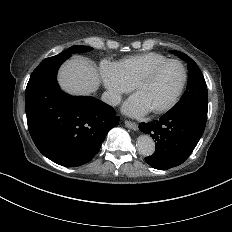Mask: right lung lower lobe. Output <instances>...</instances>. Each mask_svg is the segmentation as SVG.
Listing matches in <instances>:
<instances>
[{"label": "right lung lower lobe", "mask_w": 232, "mask_h": 232, "mask_svg": "<svg viewBox=\"0 0 232 232\" xmlns=\"http://www.w3.org/2000/svg\"><path fill=\"white\" fill-rule=\"evenodd\" d=\"M70 56L58 54L38 65L27 84L25 104L28 129L39 151L59 165L76 167L98 153L119 117L98 99L60 91L56 74Z\"/></svg>", "instance_id": "98d812e1"}]
</instances>
